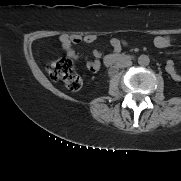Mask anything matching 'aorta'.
<instances>
[{"label":"aorta","mask_w":181,"mask_h":181,"mask_svg":"<svg viewBox=\"0 0 181 181\" xmlns=\"http://www.w3.org/2000/svg\"><path fill=\"white\" fill-rule=\"evenodd\" d=\"M149 63H150V59H149V57L147 56V55H140L139 57H138V64L140 65V66H148L149 65Z\"/></svg>","instance_id":"aorta-1"}]
</instances>
